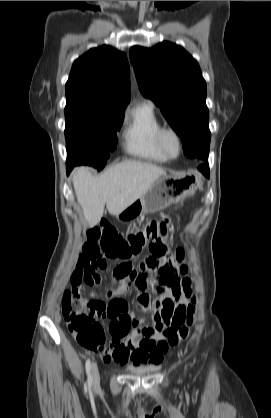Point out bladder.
I'll use <instances>...</instances> for the list:
<instances>
[{"mask_svg":"<svg viewBox=\"0 0 271 418\" xmlns=\"http://www.w3.org/2000/svg\"><path fill=\"white\" fill-rule=\"evenodd\" d=\"M155 370V368H151V369H131L130 372L134 373V374H145V373H149L151 371Z\"/></svg>","mask_w":271,"mask_h":418,"instance_id":"obj_1","label":"bladder"}]
</instances>
